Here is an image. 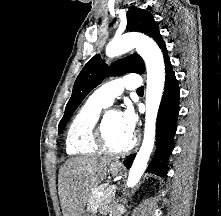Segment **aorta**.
I'll use <instances>...</instances> for the list:
<instances>
[{
  "label": "aorta",
  "instance_id": "1",
  "mask_svg": "<svg viewBox=\"0 0 221 216\" xmlns=\"http://www.w3.org/2000/svg\"><path fill=\"white\" fill-rule=\"evenodd\" d=\"M136 48L147 69L146 114L144 139L130 168L127 186L134 187L143 175L155 142L156 119L163 95L165 66L162 52L149 37L128 33L114 37L106 46L108 57H117Z\"/></svg>",
  "mask_w": 221,
  "mask_h": 216
}]
</instances>
